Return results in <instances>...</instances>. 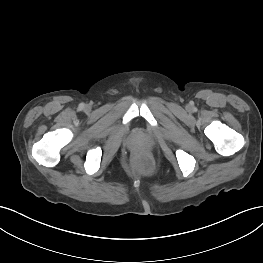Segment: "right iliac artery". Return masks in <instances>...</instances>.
Segmentation results:
<instances>
[{"instance_id": "obj_1", "label": "right iliac artery", "mask_w": 263, "mask_h": 263, "mask_svg": "<svg viewBox=\"0 0 263 263\" xmlns=\"http://www.w3.org/2000/svg\"><path fill=\"white\" fill-rule=\"evenodd\" d=\"M79 108H80V109H83V108H84V104H80V105H79Z\"/></svg>"}]
</instances>
